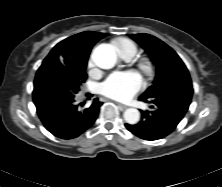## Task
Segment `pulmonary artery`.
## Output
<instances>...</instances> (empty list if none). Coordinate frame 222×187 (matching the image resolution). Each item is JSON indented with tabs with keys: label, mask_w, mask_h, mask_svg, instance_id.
Listing matches in <instances>:
<instances>
[{
	"label": "pulmonary artery",
	"mask_w": 222,
	"mask_h": 187,
	"mask_svg": "<svg viewBox=\"0 0 222 187\" xmlns=\"http://www.w3.org/2000/svg\"><path fill=\"white\" fill-rule=\"evenodd\" d=\"M122 57L125 58L126 60H130L133 57V55L130 53H126V54H123Z\"/></svg>",
	"instance_id": "pulmonary-artery-1"
}]
</instances>
